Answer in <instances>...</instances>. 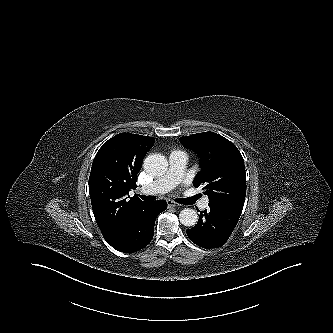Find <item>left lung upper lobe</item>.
I'll use <instances>...</instances> for the list:
<instances>
[{"instance_id":"left-lung-upper-lobe-1","label":"left lung upper lobe","mask_w":333,"mask_h":333,"mask_svg":"<svg viewBox=\"0 0 333 333\" xmlns=\"http://www.w3.org/2000/svg\"><path fill=\"white\" fill-rule=\"evenodd\" d=\"M183 146L200 157L201 171L193 185L202 186L209 203L240 216L246 194L244 160L237 147L228 139L213 132L181 137Z\"/></svg>"}]
</instances>
